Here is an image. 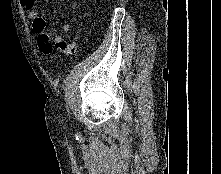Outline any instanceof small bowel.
I'll return each instance as SVG.
<instances>
[{"mask_svg": "<svg viewBox=\"0 0 221 174\" xmlns=\"http://www.w3.org/2000/svg\"><path fill=\"white\" fill-rule=\"evenodd\" d=\"M21 4L27 11L28 18L33 21V29L39 36V48L43 54L50 55L53 48L65 53H70L75 50V44L66 41V34L70 31L69 24H63L61 26L62 33L54 36L51 41L49 36L45 33L46 19L39 16L35 9L36 0H21Z\"/></svg>", "mask_w": 221, "mask_h": 174, "instance_id": "c3829d8e", "label": "small bowel"}]
</instances>
